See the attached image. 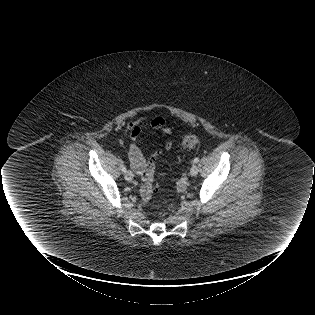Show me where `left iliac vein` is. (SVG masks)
<instances>
[{
    "label": "left iliac vein",
    "mask_w": 315,
    "mask_h": 315,
    "mask_svg": "<svg viewBox=\"0 0 315 315\" xmlns=\"http://www.w3.org/2000/svg\"><path fill=\"white\" fill-rule=\"evenodd\" d=\"M199 172V167L196 164H193L191 169H190V175L191 176H196Z\"/></svg>",
    "instance_id": "left-iliac-vein-1"
}]
</instances>
